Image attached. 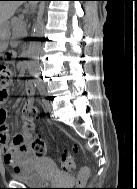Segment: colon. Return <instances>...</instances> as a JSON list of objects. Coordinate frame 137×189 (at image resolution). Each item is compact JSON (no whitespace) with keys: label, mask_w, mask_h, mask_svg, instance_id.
Segmentation results:
<instances>
[{"label":"colon","mask_w":137,"mask_h":189,"mask_svg":"<svg viewBox=\"0 0 137 189\" xmlns=\"http://www.w3.org/2000/svg\"><path fill=\"white\" fill-rule=\"evenodd\" d=\"M14 78L13 70L6 64H0V98L6 97V88L12 83ZM40 108L31 104L26 108L28 116H36ZM26 147L37 156H43L46 153V144L42 138L31 135L25 140ZM75 168L73 157L68 153H63L60 158V169L63 172H72ZM86 175V173L84 174Z\"/></svg>","instance_id":"obj_1"}]
</instances>
